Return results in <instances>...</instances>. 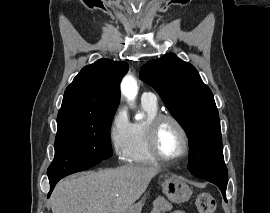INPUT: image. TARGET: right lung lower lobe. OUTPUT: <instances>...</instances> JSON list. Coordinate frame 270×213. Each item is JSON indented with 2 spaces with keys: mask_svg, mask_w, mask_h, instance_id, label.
Segmentation results:
<instances>
[{
  "mask_svg": "<svg viewBox=\"0 0 270 213\" xmlns=\"http://www.w3.org/2000/svg\"><path fill=\"white\" fill-rule=\"evenodd\" d=\"M96 165V164H95ZM94 165H89V166H85V167H80V168H76V169H72V170H69L65 173H58V174H52V175H48V179H49V182H50V192L48 194V197L50 196L52 190L54 189L55 185L57 184V182L64 178L65 176L67 175H70L72 173H75V172H79V171H83V170H86V169H89L91 167H93Z\"/></svg>",
  "mask_w": 270,
  "mask_h": 213,
  "instance_id": "1",
  "label": "right lung lower lobe"
}]
</instances>
